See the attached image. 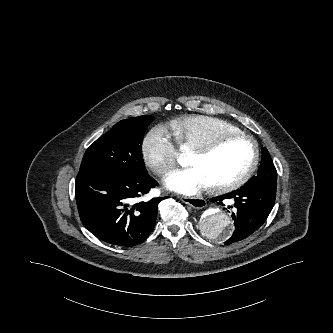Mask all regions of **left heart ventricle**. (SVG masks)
I'll use <instances>...</instances> for the list:
<instances>
[{
  "mask_svg": "<svg viewBox=\"0 0 333 333\" xmlns=\"http://www.w3.org/2000/svg\"><path fill=\"white\" fill-rule=\"evenodd\" d=\"M253 155L254 148L249 141L236 139L224 142L205 156L191 153L188 165L198 168L211 186L238 178L250 166Z\"/></svg>",
  "mask_w": 333,
  "mask_h": 333,
  "instance_id": "1",
  "label": "left heart ventricle"
}]
</instances>
